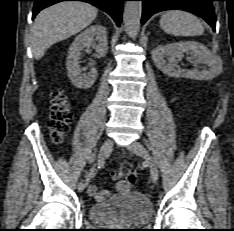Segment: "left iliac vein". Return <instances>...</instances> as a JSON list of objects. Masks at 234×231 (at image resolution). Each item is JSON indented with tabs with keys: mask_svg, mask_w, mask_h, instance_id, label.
Segmentation results:
<instances>
[{
	"mask_svg": "<svg viewBox=\"0 0 234 231\" xmlns=\"http://www.w3.org/2000/svg\"><path fill=\"white\" fill-rule=\"evenodd\" d=\"M129 150L135 153L136 155L142 157L146 160L149 168H150V175L153 183H157L159 177V171L156 162L150 156L149 152L146 148L139 142L134 141L129 145Z\"/></svg>",
	"mask_w": 234,
	"mask_h": 231,
	"instance_id": "left-iliac-vein-1",
	"label": "left iliac vein"
}]
</instances>
